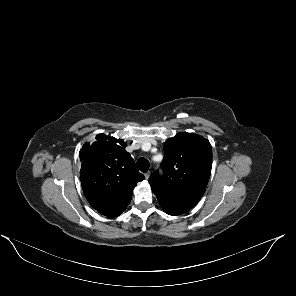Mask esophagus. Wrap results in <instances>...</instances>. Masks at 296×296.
Segmentation results:
<instances>
[{"label":"esophagus","instance_id":"34e87169","mask_svg":"<svg viewBox=\"0 0 296 296\" xmlns=\"http://www.w3.org/2000/svg\"><path fill=\"white\" fill-rule=\"evenodd\" d=\"M150 174H151V173H150L149 171H148V172H146V173L144 174V176H145V179H146V180H148V179H149V177H150Z\"/></svg>","mask_w":296,"mask_h":296}]
</instances>
